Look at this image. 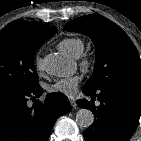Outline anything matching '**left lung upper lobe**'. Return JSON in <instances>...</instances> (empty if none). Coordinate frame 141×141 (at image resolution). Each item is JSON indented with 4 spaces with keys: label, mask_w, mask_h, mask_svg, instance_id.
<instances>
[{
    "label": "left lung upper lobe",
    "mask_w": 141,
    "mask_h": 141,
    "mask_svg": "<svg viewBox=\"0 0 141 141\" xmlns=\"http://www.w3.org/2000/svg\"><path fill=\"white\" fill-rule=\"evenodd\" d=\"M65 31L88 35L96 47L93 75L84 85L90 91L115 85L141 86V60L128 35L101 15L91 14L68 22Z\"/></svg>",
    "instance_id": "5c2ea615"
}]
</instances>
